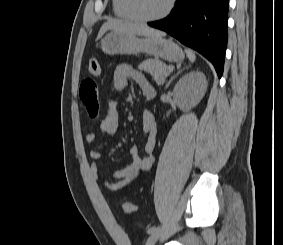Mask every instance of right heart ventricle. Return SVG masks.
Wrapping results in <instances>:
<instances>
[{
	"label": "right heart ventricle",
	"instance_id": "e07e8e85",
	"mask_svg": "<svg viewBox=\"0 0 283 245\" xmlns=\"http://www.w3.org/2000/svg\"><path fill=\"white\" fill-rule=\"evenodd\" d=\"M113 11L114 14L122 19L132 20L133 17L129 14L126 8L125 0H113Z\"/></svg>",
	"mask_w": 283,
	"mask_h": 245
}]
</instances>
